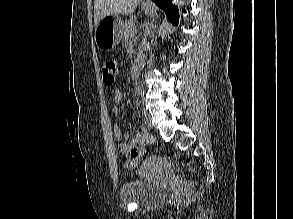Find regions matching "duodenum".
<instances>
[{
	"instance_id": "obj_1",
	"label": "duodenum",
	"mask_w": 293,
	"mask_h": 219,
	"mask_svg": "<svg viewBox=\"0 0 293 219\" xmlns=\"http://www.w3.org/2000/svg\"><path fill=\"white\" fill-rule=\"evenodd\" d=\"M142 67H143L142 62L139 60L136 61L132 67L131 76L133 78L137 77L140 74Z\"/></svg>"
}]
</instances>
